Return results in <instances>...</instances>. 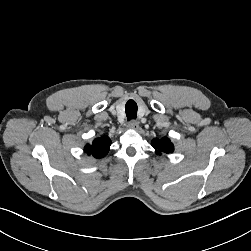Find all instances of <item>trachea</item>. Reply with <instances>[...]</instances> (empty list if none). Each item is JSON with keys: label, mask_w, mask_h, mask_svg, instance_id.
I'll use <instances>...</instances> for the list:
<instances>
[{"label": "trachea", "mask_w": 251, "mask_h": 251, "mask_svg": "<svg viewBox=\"0 0 251 251\" xmlns=\"http://www.w3.org/2000/svg\"><path fill=\"white\" fill-rule=\"evenodd\" d=\"M137 104L133 100H129L125 105V112L128 120H134L137 116Z\"/></svg>", "instance_id": "3493384b"}]
</instances>
